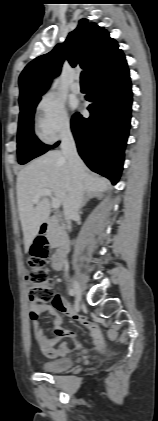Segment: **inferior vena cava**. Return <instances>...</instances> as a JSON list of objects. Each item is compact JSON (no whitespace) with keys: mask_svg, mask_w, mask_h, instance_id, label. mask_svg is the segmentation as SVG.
I'll use <instances>...</instances> for the list:
<instances>
[{"mask_svg":"<svg viewBox=\"0 0 158 421\" xmlns=\"http://www.w3.org/2000/svg\"><path fill=\"white\" fill-rule=\"evenodd\" d=\"M61 150L68 161L72 182L63 201V212L67 229L71 230V220L78 214L84 198V164L79 157L70 127H65L61 136Z\"/></svg>","mask_w":158,"mask_h":421,"instance_id":"inferior-vena-cava-1","label":"inferior vena cava"}]
</instances>
